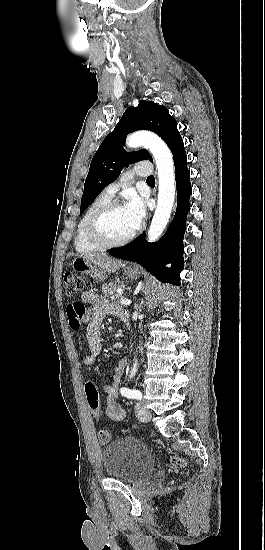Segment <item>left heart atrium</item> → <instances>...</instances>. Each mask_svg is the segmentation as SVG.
I'll list each match as a JSON object with an SVG mask.
<instances>
[{
  "label": "left heart atrium",
  "instance_id": "1",
  "mask_svg": "<svg viewBox=\"0 0 265 550\" xmlns=\"http://www.w3.org/2000/svg\"><path fill=\"white\" fill-rule=\"evenodd\" d=\"M124 207L131 219L134 230L138 229L146 214L143 201L138 196L132 195Z\"/></svg>",
  "mask_w": 265,
  "mask_h": 550
}]
</instances>
